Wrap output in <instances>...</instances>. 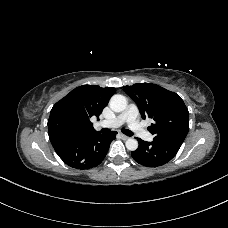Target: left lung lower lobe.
<instances>
[{"instance_id": "left-lung-lower-lobe-1", "label": "left lung lower lobe", "mask_w": 228, "mask_h": 228, "mask_svg": "<svg viewBox=\"0 0 228 228\" xmlns=\"http://www.w3.org/2000/svg\"><path fill=\"white\" fill-rule=\"evenodd\" d=\"M139 147L132 151L133 159L147 167H157L169 162L178 152L182 143L176 139H154L146 142L138 139Z\"/></svg>"}]
</instances>
